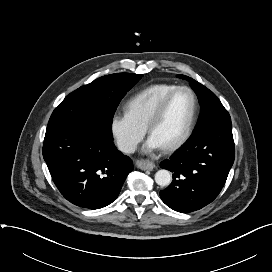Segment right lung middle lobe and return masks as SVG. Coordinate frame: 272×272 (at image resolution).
Returning a JSON list of instances; mask_svg holds the SVG:
<instances>
[{"mask_svg": "<svg viewBox=\"0 0 272 272\" xmlns=\"http://www.w3.org/2000/svg\"><path fill=\"white\" fill-rule=\"evenodd\" d=\"M141 77L134 73H116L78 88L53 111L46 132L69 125H88L113 138L112 120L115 110L126 92Z\"/></svg>", "mask_w": 272, "mask_h": 272, "instance_id": "1", "label": "right lung middle lobe"}]
</instances>
